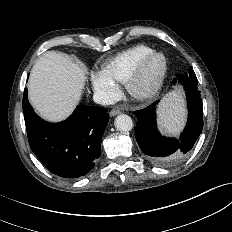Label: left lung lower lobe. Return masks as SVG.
I'll return each instance as SVG.
<instances>
[{
    "instance_id": "1",
    "label": "left lung lower lobe",
    "mask_w": 232,
    "mask_h": 232,
    "mask_svg": "<svg viewBox=\"0 0 232 232\" xmlns=\"http://www.w3.org/2000/svg\"><path fill=\"white\" fill-rule=\"evenodd\" d=\"M177 77L184 86L188 104L187 125L179 139L164 137L157 131L156 104L159 101L135 112L138 119L135 126L137 143L145 157L157 166H171L185 158L203 127L202 100L197 78L185 79L182 75Z\"/></svg>"
}]
</instances>
